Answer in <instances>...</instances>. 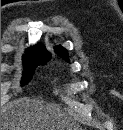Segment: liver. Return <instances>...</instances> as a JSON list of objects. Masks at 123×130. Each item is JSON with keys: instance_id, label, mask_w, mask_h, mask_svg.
Masks as SVG:
<instances>
[{"instance_id": "liver-1", "label": "liver", "mask_w": 123, "mask_h": 130, "mask_svg": "<svg viewBox=\"0 0 123 130\" xmlns=\"http://www.w3.org/2000/svg\"><path fill=\"white\" fill-rule=\"evenodd\" d=\"M72 125L57 104L19 98L1 115V130H70Z\"/></svg>"}]
</instances>
